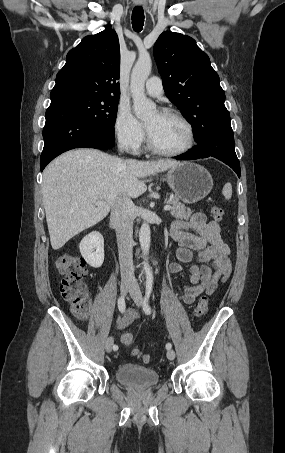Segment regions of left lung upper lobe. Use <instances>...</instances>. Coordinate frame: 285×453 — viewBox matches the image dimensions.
<instances>
[{
    "mask_svg": "<svg viewBox=\"0 0 285 453\" xmlns=\"http://www.w3.org/2000/svg\"><path fill=\"white\" fill-rule=\"evenodd\" d=\"M153 52L166 96L192 125L194 140L233 133L219 76L196 41L166 31L157 39Z\"/></svg>",
    "mask_w": 285,
    "mask_h": 453,
    "instance_id": "left-lung-upper-lobe-1",
    "label": "left lung upper lobe"
}]
</instances>
